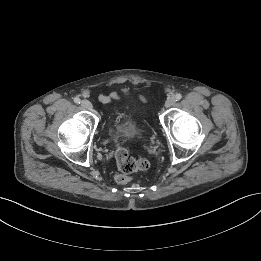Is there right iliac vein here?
Returning a JSON list of instances; mask_svg holds the SVG:
<instances>
[{"instance_id":"63e3f726","label":"right iliac vein","mask_w":261,"mask_h":261,"mask_svg":"<svg viewBox=\"0 0 261 261\" xmlns=\"http://www.w3.org/2000/svg\"><path fill=\"white\" fill-rule=\"evenodd\" d=\"M81 106L86 110H92L93 109L92 103L89 100H86V99L82 100Z\"/></svg>"}]
</instances>
